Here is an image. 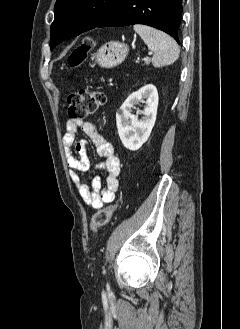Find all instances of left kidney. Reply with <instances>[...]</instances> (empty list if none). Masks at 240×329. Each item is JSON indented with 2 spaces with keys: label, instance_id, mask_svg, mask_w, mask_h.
<instances>
[{
  "label": "left kidney",
  "instance_id": "1",
  "mask_svg": "<svg viewBox=\"0 0 240 329\" xmlns=\"http://www.w3.org/2000/svg\"><path fill=\"white\" fill-rule=\"evenodd\" d=\"M143 99H146L144 110H137V115L132 114L134 105ZM157 107L158 92L152 84L145 85L125 100L116 114L118 134L125 148L136 151L148 140L155 124ZM140 113L144 117L139 120Z\"/></svg>",
  "mask_w": 240,
  "mask_h": 329
}]
</instances>
